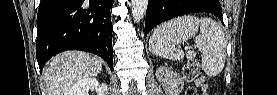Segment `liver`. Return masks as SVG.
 Listing matches in <instances>:
<instances>
[{
  "label": "liver",
  "mask_w": 277,
  "mask_h": 95,
  "mask_svg": "<svg viewBox=\"0 0 277 95\" xmlns=\"http://www.w3.org/2000/svg\"><path fill=\"white\" fill-rule=\"evenodd\" d=\"M102 62L96 56L80 51H68L56 55L44 72L48 95H68L80 80L97 76Z\"/></svg>",
  "instance_id": "6515ba94"
}]
</instances>
